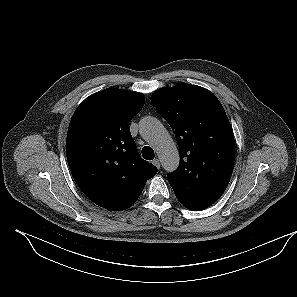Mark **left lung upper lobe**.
<instances>
[{"label":"left lung upper lobe","instance_id":"obj_1","mask_svg":"<svg viewBox=\"0 0 297 297\" xmlns=\"http://www.w3.org/2000/svg\"><path fill=\"white\" fill-rule=\"evenodd\" d=\"M151 102L170 124L180 152L168 181L187 209L200 211L225 191L234 168L235 142L227 115L209 90L190 84L161 88Z\"/></svg>","mask_w":297,"mask_h":297}]
</instances>
